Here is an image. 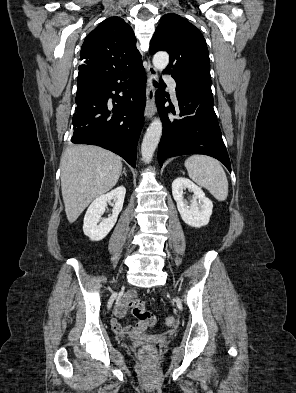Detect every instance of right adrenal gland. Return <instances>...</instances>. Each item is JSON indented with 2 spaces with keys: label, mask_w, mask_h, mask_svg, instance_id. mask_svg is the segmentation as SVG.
I'll use <instances>...</instances> for the list:
<instances>
[{
  "label": "right adrenal gland",
  "mask_w": 296,
  "mask_h": 393,
  "mask_svg": "<svg viewBox=\"0 0 296 393\" xmlns=\"http://www.w3.org/2000/svg\"><path fill=\"white\" fill-rule=\"evenodd\" d=\"M122 174H124L125 175V177H127V173H126V169H125V167L123 168V172H122ZM121 174V175H122Z\"/></svg>",
  "instance_id": "1"
}]
</instances>
